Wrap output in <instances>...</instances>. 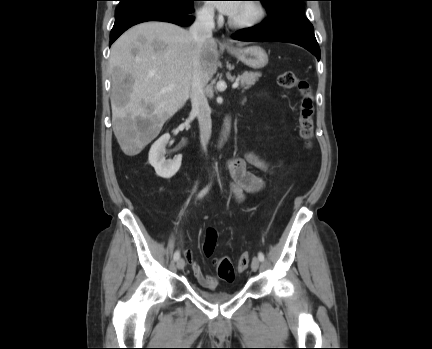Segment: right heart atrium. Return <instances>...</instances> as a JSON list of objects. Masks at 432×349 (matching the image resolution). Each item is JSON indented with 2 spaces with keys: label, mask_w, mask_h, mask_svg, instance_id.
Returning a JSON list of instances; mask_svg holds the SVG:
<instances>
[{
  "label": "right heart atrium",
  "mask_w": 432,
  "mask_h": 349,
  "mask_svg": "<svg viewBox=\"0 0 432 349\" xmlns=\"http://www.w3.org/2000/svg\"><path fill=\"white\" fill-rule=\"evenodd\" d=\"M198 17L203 20H211L214 16V12L211 6L203 5L197 11Z\"/></svg>",
  "instance_id": "right-heart-atrium-1"
}]
</instances>
